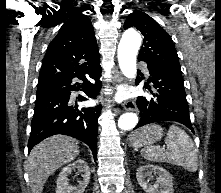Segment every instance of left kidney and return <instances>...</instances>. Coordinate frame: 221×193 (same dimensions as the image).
Instances as JSON below:
<instances>
[{"mask_svg": "<svg viewBox=\"0 0 221 193\" xmlns=\"http://www.w3.org/2000/svg\"><path fill=\"white\" fill-rule=\"evenodd\" d=\"M152 173L157 174L154 184H149L146 178L151 177ZM136 178L139 185L146 193H173V177L160 166L151 164L140 166L137 169Z\"/></svg>", "mask_w": 221, "mask_h": 193, "instance_id": "left-kidney-1", "label": "left kidney"}]
</instances>
